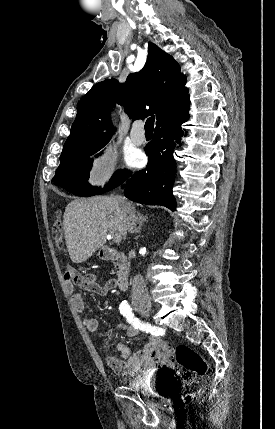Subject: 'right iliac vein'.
Wrapping results in <instances>:
<instances>
[{"label": "right iliac vein", "mask_w": 275, "mask_h": 429, "mask_svg": "<svg viewBox=\"0 0 275 429\" xmlns=\"http://www.w3.org/2000/svg\"><path fill=\"white\" fill-rule=\"evenodd\" d=\"M137 310L146 317H149L151 314V305L149 303H142L137 306Z\"/></svg>", "instance_id": "1"}]
</instances>
